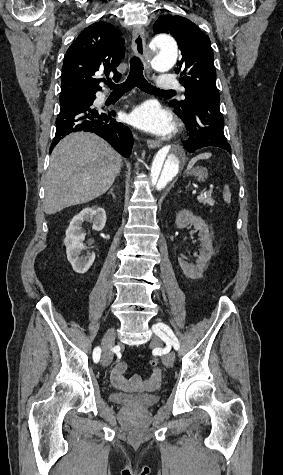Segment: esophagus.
<instances>
[{"instance_id": "34e87169", "label": "esophagus", "mask_w": 283, "mask_h": 475, "mask_svg": "<svg viewBox=\"0 0 283 475\" xmlns=\"http://www.w3.org/2000/svg\"><path fill=\"white\" fill-rule=\"evenodd\" d=\"M131 46L135 55L142 60L145 72L149 74L150 63L147 58L146 37L143 27H135L133 29ZM161 144L162 142L160 140H147V146L149 148H158Z\"/></svg>"}]
</instances>
